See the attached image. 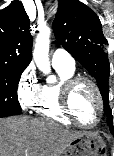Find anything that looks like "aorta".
<instances>
[{
	"instance_id": "1",
	"label": "aorta",
	"mask_w": 114,
	"mask_h": 156,
	"mask_svg": "<svg viewBox=\"0 0 114 156\" xmlns=\"http://www.w3.org/2000/svg\"><path fill=\"white\" fill-rule=\"evenodd\" d=\"M50 29L48 27H42L36 38V43L33 49V59L44 74L50 73L49 63V44H50ZM50 79L49 81H53Z\"/></svg>"
}]
</instances>
